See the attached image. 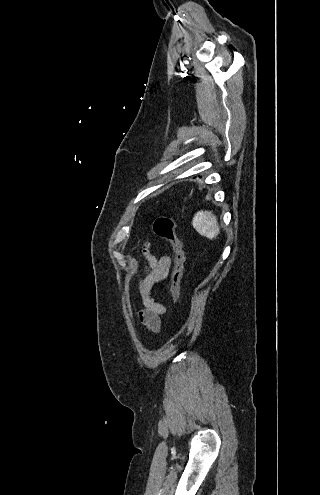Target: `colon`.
Listing matches in <instances>:
<instances>
[{
    "label": "colon",
    "mask_w": 320,
    "mask_h": 495,
    "mask_svg": "<svg viewBox=\"0 0 320 495\" xmlns=\"http://www.w3.org/2000/svg\"><path fill=\"white\" fill-rule=\"evenodd\" d=\"M179 217L161 215L153 222V231L160 238L169 243L174 254V268L171 279V293L174 303H178L181 289V279L184 270L185 253L183 243L177 234Z\"/></svg>",
    "instance_id": "1"
}]
</instances>
